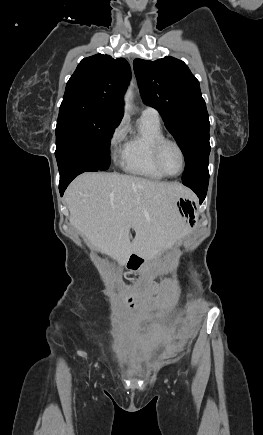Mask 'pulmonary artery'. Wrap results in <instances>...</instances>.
Returning <instances> with one entry per match:
<instances>
[{
	"instance_id": "1",
	"label": "pulmonary artery",
	"mask_w": 263,
	"mask_h": 435,
	"mask_svg": "<svg viewBox=\"0 0 263 435\" xmlns=\"http://www.w3.org/2000/svg\"><path fill=\"white\" fill-rule=\"evenodd\" d=\"M142 116L149 117L155 120H160L158 111L152 107L144 108L142 111Z\"/></svg>"
}]
</instances>
